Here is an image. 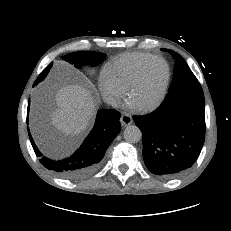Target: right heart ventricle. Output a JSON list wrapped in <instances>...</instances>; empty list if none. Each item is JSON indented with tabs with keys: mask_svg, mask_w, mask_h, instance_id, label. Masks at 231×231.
<instances>
[{
	"mask_svg": "<svg viewBox=\"0 0 231 231\" xmlns=\"http://www.w3.org/2000/svg\"><path fill=\"white\" fill-rule=\"evenodd\" d=\"M150 57L151 54L142 52L122 54L107 63L104 72L126 90L139 67Z\"/></svg>",
	"mask_w": 231,
	"mask_h": 231,
	"instance_id": "obj_1",
	"label": "right heart ventricle"
}]
</instances>
